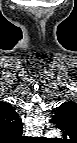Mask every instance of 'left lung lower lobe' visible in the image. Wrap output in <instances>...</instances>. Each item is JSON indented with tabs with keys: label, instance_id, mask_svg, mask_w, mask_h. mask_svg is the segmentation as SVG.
<instances>
[{
	"label": "left lung lower lobe",
	"instance_id": "left-lung-lower-lobe-1",
	"mask_svg": "<svg viewBox=\"0 0 77 143\" xmlns=\"http://www.w3.org/2000/svg\"><path fill=\"white\" fill-rule=\"evenodd\" d=\"M75 109L76 106L72 102H65L61 104L51 119V123L55 124L57 127H61L67 123V125L71 126Z\"/></svg>",
	"mask_w": 77,
	"mask_h": 143
}]
</instances>
